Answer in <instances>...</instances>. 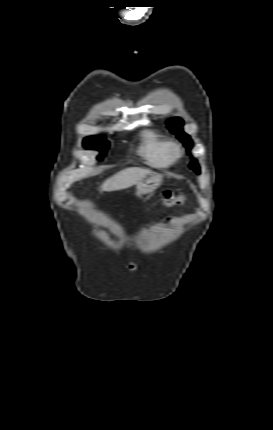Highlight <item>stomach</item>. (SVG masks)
I'll return each instance as SVG.
<instances>
[{"instance_id": "0dacf381", "label": "stomach", "mask_w": 273, "mask_h": 430, "mask_svg": "<svg viewBox=\"0 0 273 430\" xmlns=\"http://www.w3.org/2000/svg\"><path fill=\"white\" fill-rule=\"evenodd\" d=\"M162 183V177L158 173H151L137 183V192L146 195L154 192Z\"/></svg>"}]
</instances>
